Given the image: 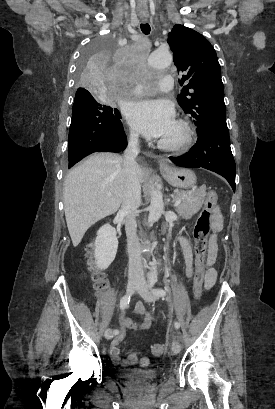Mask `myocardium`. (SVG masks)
<instances>
[{"mask_svg":"<svg viewBox=\"0 0 275 409\" xmlns=\"http://www.w3.org/2000/svg\"><path fill=\"white\" fill-rule=\"evenodd\" d=\"M179 134L176 139L171 141L157 140V146L165 151H178L186 147L192 138L190 125L184 120H176L175 123Z\"/></svg>","mask_w":275,"mask_h":409,"instance_id":"f54148a6","label":"myocardium"}]
</instances>
